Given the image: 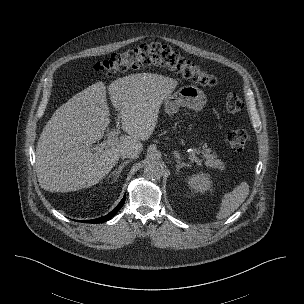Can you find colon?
Listing matches in <instances>:
<instances>
[{
  "label": "colon",
  "mask_w": 304,
  "mask_h": 304,
  "mask_svg": "<svg viewBox=\"0 0 304 304\" xmlns=\"http://www.w3.org/2000/svg\"><path fill=\"white\" fill-rule=\"evenodd\" d=\"M151 65L166 67L203 86H214L218 83L213 72L201 68L168 46L159 43L142 44L124 53L113 54L108 59L98 62L94 70L99 75L109 78L118 73ZM243 108L244 102L236 93H229L226 96L224 109L227 113L236 114ZM226 140L233 152L241 153L246 147L248 134L244 128H235L227 133Z\"/></svg>",
  "instance_id": "5ec220e1"
}]
</instances>
